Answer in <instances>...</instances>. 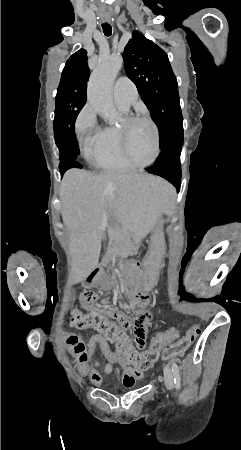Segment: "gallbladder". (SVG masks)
Here are the masks:
<instances>
[{
  "label": "gallbladder",
  "mask_w": 241,
  "mask_h": 450,
  "mask_svg": "<svg viewBox=\"0 0 241 450\" xmlns=\"http://www.w3.org/2000/svg\"><path fill=\"white\" fill-rule=\"evenodd\" d=\"M70 297H71V298H74V297H75V294H74V293H71V294H70ZM65 307H66L68 310H72V309L75 307V304L72 302V300H70V301H68V302L65 304Z\"/></svg>",
  "instance_id": "1"
}]
</instances>
